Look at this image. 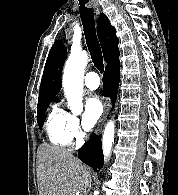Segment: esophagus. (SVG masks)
I'll return each mask as SVG.
<instances>
[{"label": "esophagus", "mask_w": 178, "mask_h": 195, "mask_svg": "<svg viewBox=\"0 0 178 195\" xmlns=\"http://www.w3.org/2000/svg\"><path fill=\"white\" fill-rule=\"evenodd\" d=\"M96 13L99 14V8L98 7L96 9ZM110 106H111L110 100L105 99L104 100V111H103V114H102V116H101V118H100V120L98 122L97 128H96V133L97 134H99L101 132V130H102V126H103V124H104V122H105V120H106V118L108 116V113H109V110H110Z\"/></svg>", "instance_id": "34e87169"}]
</instances>
